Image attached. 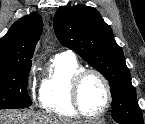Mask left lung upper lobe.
Wrapping results in <instances>:
<instances>
[{
	"label": "left lung upper lobe",
	"instance_id": "1",
	"mask_svg": "<svg viewBox=\"0 0 145 124\" xmlns=\"http://www.w3.org/2000/svg\"><path fill=\"white\" fill-rule=\"evenodd\" d=\"M54 30L63 46L74 50L109 80L114 121L143 124L123 51L99 12L88 6H60Z\"/></svg>",
	"mask_w": 145,
	"mask_h": 124
}]
</instances>
